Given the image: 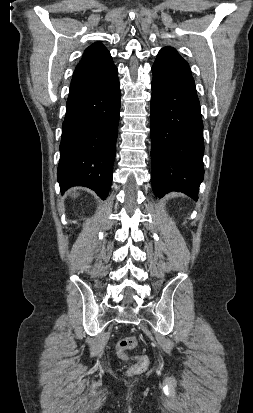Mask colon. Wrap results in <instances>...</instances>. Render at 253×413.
Returning a JSON list of instances; mask_svg holds the SVG:
<instances>
[{
	"instance_id": "1",
	"label": "colon",
	"mask_w": 253,
	"mask_h": 413,
	"mask_svg": "<svg viewBox=\"0 0 253 413\" xmlns=\"http://www.w3.org/2000/svg\"><path fill=\"white\" fill-rule=\"evenodd\" d=\"M138 345V339L135 336H128L121 339L117 343V354L122 359H128L127 351L136 348ZM147 358L145 356H136V363H134L128 370L131 375L139 374L144 371L147 366Z\"/></svg>"
}]
</instances>
